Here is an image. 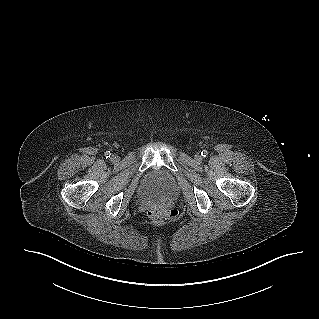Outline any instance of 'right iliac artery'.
I'll use <instances>...</instances> for the list:
<instances>
[{
	"instance_id": "right-iliac-artery-1",
	"label": "right iliac artery",
	"mask_w": 319,
	"mask_h": 319,
	"mask_svg": "<svg viewBox=\"0 0 319 319\" xmlns=\"http://www.w3.org/2000/svg\"><path fill=\"white\" fill-rule=\"evenodd\" d=\"M105 156H106V158H109V157L111 156V153H110L109 151H107V152L105 153Z\"/></svg>"
}]
</instances>
